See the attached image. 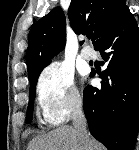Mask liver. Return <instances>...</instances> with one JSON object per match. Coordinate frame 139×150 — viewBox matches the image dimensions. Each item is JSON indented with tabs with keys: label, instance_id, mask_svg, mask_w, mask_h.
Segmentation results:
<instances>
[{
	"label": "liver",
	"instance_id": "liver-1",
	"mask_svg": "<svg viewBox=\"0 0 139 150\" xmlns=\"http://www.w3.org/2000/svg\"><path fill=\"white\" fill-rule=\"evenodd\" d=\"M27 150H102V146L88 134L86 143L82 144L73 127L61 126L35 137Z\"/></svg>",
	"mask_w": 139,
	"mask_h": 150
}]
</instances>
